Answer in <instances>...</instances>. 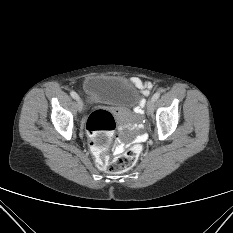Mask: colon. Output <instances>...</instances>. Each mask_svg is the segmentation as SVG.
Listing matches in <instances>:
<instances>
[{
  "label": "colon",
  "instance_id": "obj_1",
  "mask_svg": "<svg viewBox=\"0 0 233 233\" xmlns=\"http://www.w3.org/2000/svg\"><path fill=\"white\" fill-rule=\"evenodd\" d=\"M115 128L116 122L114 116L109 111L103 109L93 111L86 123L89 143L96 164L99 168L109 173L118 174L129 170L135 165L142 148L140 145H134L122 155L110 160L105 149L97 143V137L102 135L107 140H110Z\"/></svg>",
  "mask_w": 233,
  "mask_h": 233
}]
</instances>
